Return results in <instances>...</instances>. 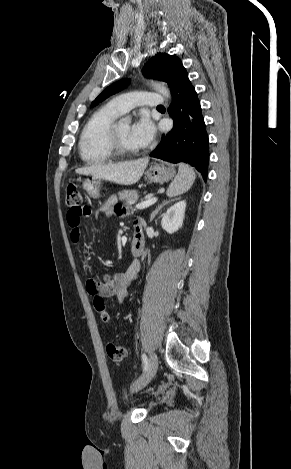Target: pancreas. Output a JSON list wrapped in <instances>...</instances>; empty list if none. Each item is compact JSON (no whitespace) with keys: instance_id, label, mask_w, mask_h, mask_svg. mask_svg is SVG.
<instances>
[{"instance_id":"1","label":"pancreas","mask_w":291,"mask_h":469,"mask_svg":"<svg viewBox=\"0 0 291 469\" xmlns=\"http://www.w3.org/2000/svg\"><path fill=\"white\" fill-rule=\"evenodd\" d=\"M120 200H122L126 205H132L139 197V193L135 190H125L119 194Z\"/></svg>"}]
</instances>
